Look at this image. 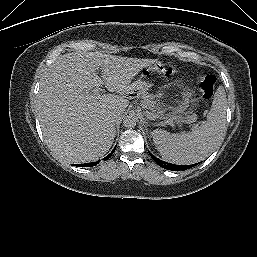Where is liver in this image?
<instances>
[{
  "instance_id": "obj_1",
  "label": "liver",
  "mask_w": 257,
  "mask_h": 257,
  "mask_svg": "<svg viewBox=\"0 0 257 257\" xmlns=\"http://www.w3.org/2000/svg\"><path fill=\"white\" fill-rule=\"evenodd\" d=\"M155 61L101 52L58 57L41 79L37 101L43 136L54 155L68 163L89 162L105 155L116 134L111 114L125 111L129 105L126 95L134 91L132 79ZM103 84L119 95L85 99L86 93Z\"/></svg>"
}]
</instances>
